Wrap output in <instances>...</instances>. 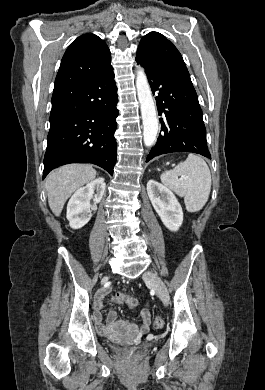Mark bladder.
Returning <instances> with one entry per match:
<instances>
[{
	"label": "bladder",
	"mask_w": 265,
	"mask_h": 390,
	"mask_svg": "<svg viewBox=\"0 0 265 390\" xmlns=\"http://www.w3.org/2000/svg\"><path fill=\"white\" fill-rule=\"evenodd\" d=\"M125 348V346L123 345V344H114L113 345V349L115 350V351H121V350H123Z\"/></svg>",
	"instance_id": "bladder-1"
}]
</instances>
